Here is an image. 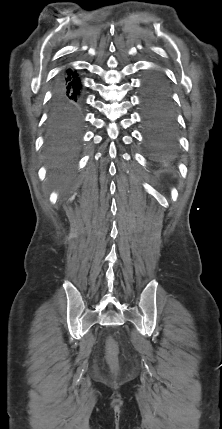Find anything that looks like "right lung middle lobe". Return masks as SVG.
Here are the masks:
<instances>
[{
    "label": "right lung middle lobe",
    "mask_w": 222,
    "mask_h": 429,
    "mask_svg": "<svg viewBox=\"0 0 222 429\" xmlns=\"http://www.w3.org/2000/svg\"><path fill=\"white\" fill-rule=\"evenodd\" d=\"M49 134H50V141L52 144H60L64 139L67 138V134L60 132L58 129L52 127L49 125Z\"/></svg>",
    "instance_id": "right-lung-middle-lobe-1"
}]
</instances>
